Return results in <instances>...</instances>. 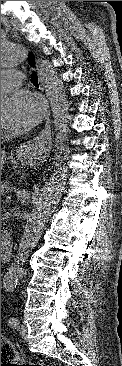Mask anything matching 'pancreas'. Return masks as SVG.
Returning <instances> with one entry per match:
<instances>
[{"mask_svg": "<svg viewBox=\"0 0 122 366\" xmlns=\"http://www.w3.org/2000/svg\"><path fill=\"white\" fill-rule=\"evenodd\" d=\"M8 189H9V183L1 182V196H4Z\"/></svg>", "mask_w": 122, "mask_h": 366, "instance_id": "pancreas-1", "label": "pancreas"}]
</instances>
